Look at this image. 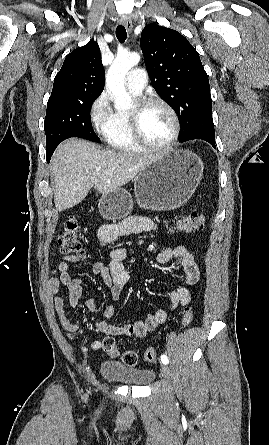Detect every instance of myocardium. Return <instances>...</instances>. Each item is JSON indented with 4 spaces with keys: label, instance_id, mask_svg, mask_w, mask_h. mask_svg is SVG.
I'll return each instance as SVG.
<instances>
[{
    "label": "myocardium",
    "instance_id": "obj_1",
    "mask_svg": "<svg viewBox=\"0 0 269 445\" xmlns=\"http://www.w3.org/2000/svg\"><path fill=\"white\" fill-rule=\"evenodd\" d=\"M153 105L163 107L170 115L173 122V132L171 137L162 145L150 144L142 134L141 117L145 110ZM130 127L135 142L144 150L149 152L162 153L169 150L177 141L180 134V120L173 107L163 99L157 97H146L137 101L135 107L129 112Z\"/></svg>",
    "mask_w": 269,
    "mask_h": 445
}]
</instances>
